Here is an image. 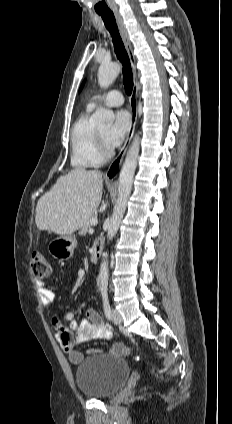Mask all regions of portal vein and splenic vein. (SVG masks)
I'll list each match as a JSON object with an SVG mask.
<instances>
[{"mask_svg": "<svg viewBox=\"0 0 232 424\" xmlns=\"http://www.w3.org/2000/svg\"><path fill=\"white\" fill-rule=\"evenodd\" d=\"M91 225H96L97 224V219L96 218H92L90 221ZM90 231H93V229H91Z\"/></svg>", "mask_w": 232, "mask_h": 424, "instance_id": "obj_1", "label": "portal vein and splenic vein"}]
</instances>
